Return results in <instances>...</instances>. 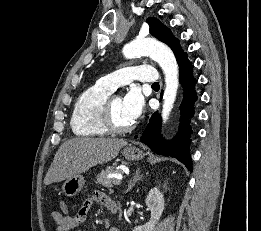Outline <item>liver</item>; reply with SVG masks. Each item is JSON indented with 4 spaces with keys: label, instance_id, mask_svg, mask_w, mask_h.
<instances>
[{
    "label": "liver",
    "instance_id": "obj_1",
    "mask_svg": "<svg viewBox=\"0 0 261 231\" xmlns=\"http://www.w3.org/2000/svg\"><path fill=\"white\" fill-rule=\"evenodd\" d=\"M127 144L123 139L73 138L64 142L56 152L44 178V184L67 180L91 167L111 161Z\"/></svg>",
    "mask_w": 261,
    "mask_h": 231
}]
</instances>
